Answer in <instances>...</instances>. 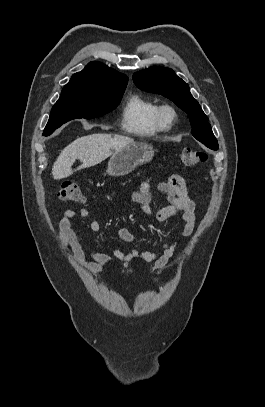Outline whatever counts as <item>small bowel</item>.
<instances>
[{
	"instance_id": "obj_1",
	"label": "small bowel",
	"mask_w": 265,
	"mask_h": 407,
	"mask_svg": "<svg viewBox=\"0 0 265 407\" xmlns=\"http://www.w3.org/2000/svg\"><path fill=\"white\" fill-rule=\"evenodd\" d=\"M157 189L167 199V205L157 211V218L160 221H165L180 213L183 220L180 235L183 237L190 236L195 228L196 204L189 197L184 179L179 175H172L167 181L158 183ZM132 199L144 213L148 215L153 213L149 179L142 182L140 187L132 193ZM79 214L84 218H90V212L85 208L80 209ZM75 215L76 212L72 209L65 211L59 223V236L65 248L71 251L75 261L92 274L106 272L116 261L129 266L134 260L145 263L148 273L152 274L164 268L174 254L176 241L165 242L158 251L132 250L124 252L114 249L110 253H104L90 250L83 246L73 229L72 220ZM89 227L93 232H99L101 229L99 221L95 219H90ZM118 236L127 243H134L136 240L135 235L125 227L118 229ZM87 255L90 260L87 259Z\"/></svg>"
}]
</instances>
